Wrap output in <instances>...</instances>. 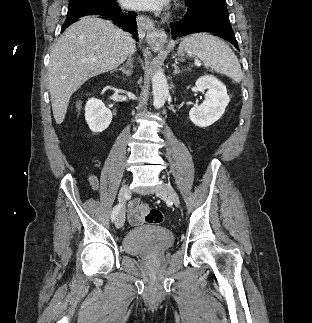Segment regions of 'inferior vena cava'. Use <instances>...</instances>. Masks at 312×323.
<instances>
[{"mask_svg": "<svg viewBox=\"0 0 312 323\" xmlns=\"http://www.w3.org/2000/svg\"><path fill=\"white\" fill-rule=\"evenodd\" d=\"M127 40L130 44V50H131V54H134L135 52V42L133 40V38H130L129 34H127Z\"/></svg>", "mask_w": 312, "mask_h": 323, "instance_id": "602c4592", "label": "inferior vena cava"}]
</instances>
